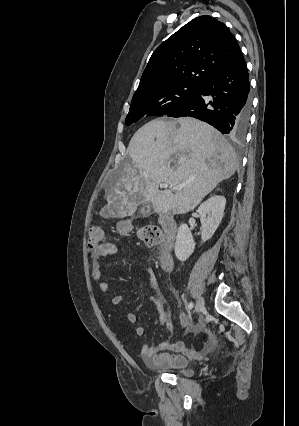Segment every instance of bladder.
Returning <instances> with one entry per match:
<instances>
[{
	"mask_svg": "<svg viewBox=\"0 0 299 426\" xmlns=\"http://www.w3.org/2000/svg\"><path fill=\"white\" fill-rule=\"evenodd\" d=\"M172 373L176 374V375H182V376H191L193 374V372L191 370L188 369H178V370H173L171 371Z\"/></svg>",
	"mask_w": 299,
	"mask_h": 426,
	"instance_id": "obj_1",
	"label": "bladder"
}]
</instances>
